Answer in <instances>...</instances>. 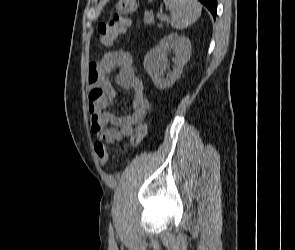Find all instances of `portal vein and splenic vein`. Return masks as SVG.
Returning a JSON list of instances; mask_svg holds the SVG:
<instances>
[{"label":"portal vein and splenic vein","mask_w":295,"mask_h":250,"mask_svg":"<svg viewBox=\"0 0 295 250\" xmlns=\"http://www.w3.org/2000/svg\"><path fill=\"white\" fill-rule=\"evenodd\" d=\"M157 17H158V19L160 21H166V20H168V17L165 16V15H163V14H158Z\"/></svg>","instance_id":"obj_1"}]
</instances>
